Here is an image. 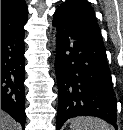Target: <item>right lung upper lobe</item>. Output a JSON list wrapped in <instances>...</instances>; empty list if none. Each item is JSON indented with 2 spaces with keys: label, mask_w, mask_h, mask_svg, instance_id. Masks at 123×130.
I'll return each mask as SVG.
<instances>
[{
  "label": "right lung upper lobe",
  "mask_w": 123,
  "mask_h": 130,
  "mask_svg": "<svg viewBox=\"0 0 123 130\" xmlns=\"http://www.w3.org/2000/svg\"><path fill=\"white\" fill-rule=\"evenodd\" d=\"M27 15L28 7L25 0H1V29L24 25Z\"/></svg>",
  "instance_id": "obj_1"
}]
</instances>
